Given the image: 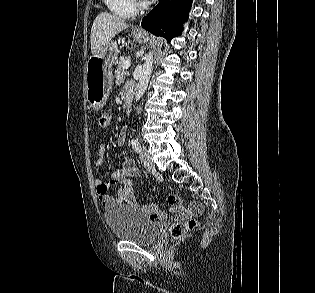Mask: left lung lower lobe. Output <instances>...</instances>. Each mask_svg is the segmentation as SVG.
<instances>
[{
  "label": "left lung lower lobe",
  "mask_w": 315,
  "mask_h": 293,
  "mask_svg": "<svg viewBox=\"0 0 315 293\" xmlns=\"http://www.w3.org/2000/svg\"><path fill=\"white\" fill-rule=\"evenodd\" d=\"M192 0H160L142 20V27L167 41L180 34L182 23L188 17Z\"/></svg>",
  "instance_id": "left-lung-lower-lobe-1"
}]
</instances>
